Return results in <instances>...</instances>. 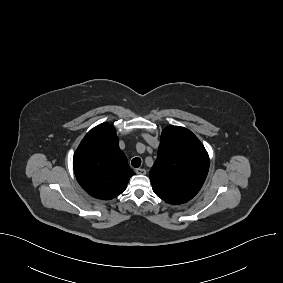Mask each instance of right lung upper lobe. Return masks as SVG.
I'll use <instances>...</instances> for the list:
<instances>
[{
    "mask_svg": "<svg viewBox=\"0 0 283 283\" xmlns=\"http://www.w3.org/2000/svg\"><path fill=\"white\" fill-rule=\"evenodd\" d=\"M73 167L81 187L103 200L122 193L135 174L119 148L115 129L108 123L87 133L74 154Z\"/></svg>",
    "mask_w": 283,
    "mask_h": 283,
    "instance_id": "1",
    "label": "right lung upper lobe"
}]
</instances>
